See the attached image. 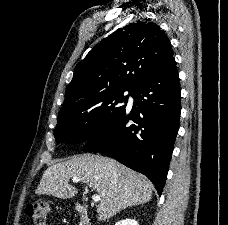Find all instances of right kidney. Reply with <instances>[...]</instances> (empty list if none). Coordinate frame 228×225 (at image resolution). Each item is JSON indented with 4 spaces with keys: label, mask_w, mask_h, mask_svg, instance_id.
<instances>
[{
    "label": "right kidney",
    "mask_w": 228,
    "mask_h": 225,
    "mask_svg": "<svg viewBox=\"0 0 228 225\" xmlns=\"http://www.w3.org/2000/svg\"><path fill=\"white\" fill-rule=\"evenodd\" d=\"M116 225H138V223L134 219H125V221H118Z\"/></svg>",
    "instance_id": "right-kidney-1"
}]
</instances>
